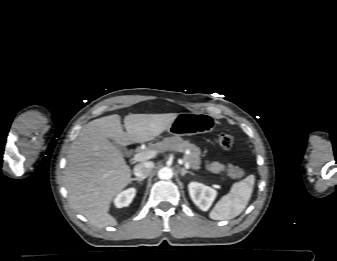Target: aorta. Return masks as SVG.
I'll list each match as a JSON object with an SVG mask.
<instances>
[{
    "label": "aorta",
    "mask_w": 337,
    "mask_h": 261,
    "mask_svg": "<svg viewBox=\"0 0 337 261\" xmlns=\"http://www.w3.org/2000/svg\"><path fill=\"white\" fill-rule=\"evenodd\" d=\"M172 176H173V171H172V169H170L168 167L161 168L158 171V177L160 179L168 180V179L172 178Z\"/></svg>",
    "instance_id": "obj_1"
}]
</instances>
